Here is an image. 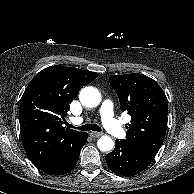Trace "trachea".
I'll use <instances>...</instances> for the list:
<instances>
[{"label":"trachea","mask_w":194,"mask_h":194,"mask_svg":"<svg viewBox=\"0 0 194 194\" xmlns=\"http://www.w3.org/2000/svg\"><path fill=\"white\" fill-rule=\"evenodd\" d=\"M67 126L73 127L71 124H68V123H67ZM76 129H79L82 131H90V130L97 131V132L101 131V127L98 126L97 124H85L83 126L76 127Z\"/></svg>","instance_id":"3493384b"}]
</instances>
